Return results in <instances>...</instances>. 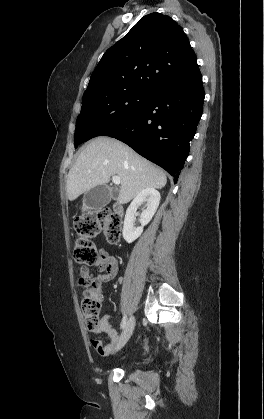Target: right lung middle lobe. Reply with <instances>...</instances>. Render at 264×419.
I'll return each instance as SVG.
<instances>
[{"instance_id": "right-lung-middle-lobe-1", "label": "right lung middle lobe", "mask_w": 264, "mask_h": 419, "mask_svg": "<svg viewBox=\"0 0 264 419\" xmlns=\"http://www.w3.org/2000/svg\"><path fill=\"white\" fill-rule=\"evenodd\" d=\"M150 95L149 90L132 88L84 96L76 123L75 148L130 117L145 104Z\"/></svg>"}]
</instances>
